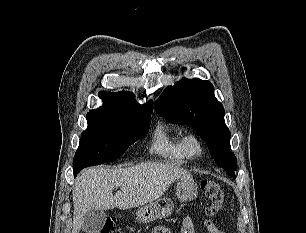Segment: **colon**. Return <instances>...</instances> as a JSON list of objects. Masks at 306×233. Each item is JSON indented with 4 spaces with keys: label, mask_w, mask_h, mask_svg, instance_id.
<instances>
[{
    "label": "colon",
    "mask_w": 306,
    "mask_h": 233,
    "mask_svg": "<svg viewBox=\"0 0 306 233\" xmlns=\"http://www.w3.org/2000/svg\"><path fill=\"white\" fill-rule=\"evenodd\" d=\"M201 189L205 197L209 200L208 214L217 213L224 203V193L220 185L213 180H204L201 183ZM116 219L108 218L100 230L96 233H114L116 230ZM153 233H160V230H154Z\"/></svg>",
    "instance_id": "colon-1"
}]
</instances>
